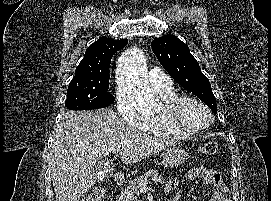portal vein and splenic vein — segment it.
<instances>
[{"label": "portal vein and splenic vein", "mask_w": 271, "mask_h": 201, "mask_svg": "<svg viewBox=\"0 0 271 201\" xmlns=\"http://www.w3.org/2000/svg\"><path fill=\"white\" fill-rule=\"evenodd\" d=\"M123 147L122 146H118L117 150L120 151ZM147 182H140L138 183V188L139 190H147Z\"/></svg>", "instance_id": "portal-vein-and-splenic-vein-1"}]
</instances>
